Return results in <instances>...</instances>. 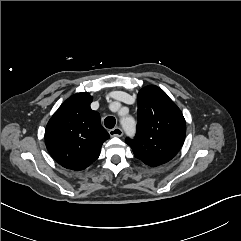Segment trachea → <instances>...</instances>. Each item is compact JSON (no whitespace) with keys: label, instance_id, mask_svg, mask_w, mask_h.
<instances>
[{"label":"trachea","instance_id":"3493384b","mask_svg":"<svg viewBox=\"0 0 241 241\" xmlns=\"http://www.w3.org/2000/svg\"><path fill=\"white\" fill-rule=\"evenodd\" d=\"M104 124L107 128L112 129L116 124V120L114 117L108 116L105 118Z\"/></svg>","mask_w":241,"mask_h":241}]
</instances>
